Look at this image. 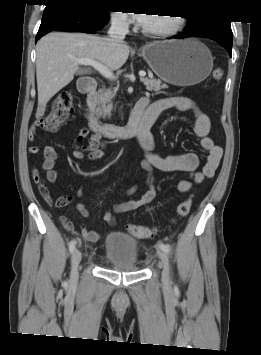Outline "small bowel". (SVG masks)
Here are the masks:
<instances>
[{
    "label": "small bowel",
    "instance_id": "obj_1",
    "mask_svg": "<svg viewBox=\"0 0 261 355\" xmlns=\"http://www.w3.org/2000/svg\"><path fill=\"white\" fill-rule=\"evenodd\" d=\"M143 100V116L147 120H151L152 123H154L161 112L167 109H176L181 112L193 113L194 133L200 138L201 147L207 153L206 163L202 170H198L199 159L197 154L193 152L180 155H170L166 157L159 156L153 151L154 139L150 132V128L140 132L138 134V140L145 154V157L140 164L141 167L148 173L146 181L149 189L140 199L122 201L116 204L112 210L105 212L103 220L109 224L115 223V214L135 210L143 205L151 203L155 199L156 190L154 187V170L164 172L182 171L189 173L190 179L180 180L177 185L180 192L186 193L192 189L193 183H200L205 178L213 177L222 158V148L216 145L209 136L211 127L209 117L202 112L190 98L183 96H170L157 100L152 104H149L148 98H143L140 101ZM34 134L35 127L33 126L29 134L30 140L34 139ZM85 139H88L87 144H82ZM105 147L106 142L99 133H93L90 135L89 129L87 127H82L74 140L72 155L76 159L87 158L89 160H98L104 156L103 149ZM28 152L34 155L40 152V148L33 145L29 147ZM43 155L44 160L41 164V168L46 172L47 181L50 183L58 182L59 174L55 169L57 159L56 149L51 145H47L43 148ZM32 180L38 186L44 200L54 208H63L71 204L76 198H79L82 195V190L79 189L73 195L60 196L54 200L37 168H33L32 170ZM136 191L137 185H134L125 192V195L130 196ZM76 209L85 219L90 218L89 209L85 204L77 202ZM60 221L66 231L71 233L76 232L75 225L67 217L60 216ZM80 231L85 241L94 243L100 239V233L97 231L87 230L84 226L80 228Z\"/></svg>",
    "mask_w": 261,
    "mask_h": 355
}]
</instances>
